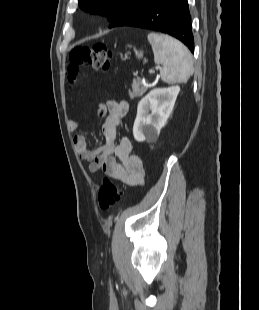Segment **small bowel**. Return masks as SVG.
I'll use <instances>...</instances> for the list:
<instances>
[{"label":"small bowel","instance_id":"1","mask_svg":"<svg viewBox=\"0 0 259 310\" xmlns=\"http://www.w3.org/2000/svg\"><path fill=\"white\" fill-rule=\"evenodd\" d=\"M129 110L126 101L108 100L99 104L96 115L103 118L102 133L104 141L90 149L83 135H75L74 146L82 161L88 164L91 174L102 171L110 178L128 186H143L145 172L141 158L133 153L131 141L123 137L118 142L117 129ZM80 128L78 120L71 119L68 129L76 133Z\"/></svg>","mask_w":259,"mask_h":310}]
</instances>
